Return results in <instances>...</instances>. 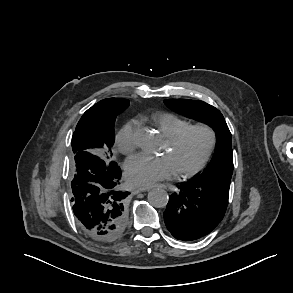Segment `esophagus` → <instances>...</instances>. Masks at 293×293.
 <instances>
[{"label": "esophagus", "mask_w": 293, "mask_h": 293, "mask_svg": "<svg viewBox=\"0 0 293 293\" xmlns=\"http://www.w3.org/2000/svg\"><path fill=\"white\" fill-rule=\"evenodd\" d=\"M159 187H161V188H163V189H166V188H167L166 185H159ZM151 188H153V187H141V188H138V189L136 190V192H137V193L145 192V191L150 190Z\"/></svg>", "instance_id": "obj_1"}]
</instances>
